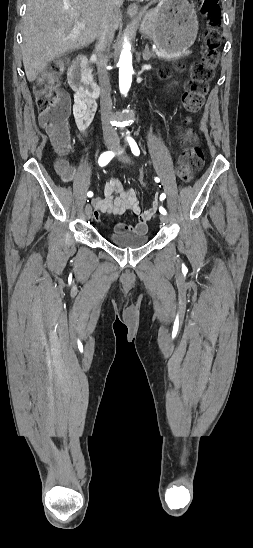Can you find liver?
<instances>
[{
	"label": "liver",
	"mask_w": 253,
	"mask_h": 548,
	"mask_svg": "<svg viewBox=\"0 0 253 548\" xmlns=\"http://www.w3.org/2000/svg\"><path fill=\"white\" fill-rule=\"evenodd\" d=\"M105 14L106 0H27L22 58L28 81L56 57L94 42ZM121 20L118 8L111 17L115 31Z\"/></svg>",
	"instance_id": "liver-1"
}]
</instances>
